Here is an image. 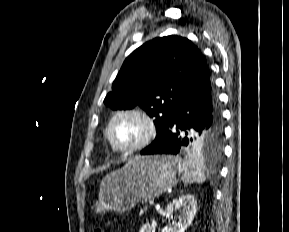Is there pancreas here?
Here are the masks:
<instances>
[{"instance_id":"cf45deb5","label":"pancreas","mask_w":289,"mask_h":232,"mask_svg":"<svg viewBox=\"0 0 289 232\" xmlns=\"http://www.w3.org/2000/svg\"><path fill=\"white\" fill-rule=\"evenodd\" d=\"M142 213H143V210L140 211V214H142Z\"/></svg>"}]
</instances>
